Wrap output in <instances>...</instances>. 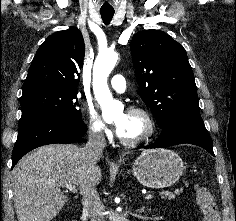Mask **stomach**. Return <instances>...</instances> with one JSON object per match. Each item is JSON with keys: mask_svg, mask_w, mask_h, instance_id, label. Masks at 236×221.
Segmentation results:
<instances>
[{"mask_svg": "<svg viewBox=\"0 0 236 221\" xmlns=\"http://www.w3.org/2000/svg\"><path fill=\"white\" fill-rule=\"evenodd\" d=\"M133 174L149 188H165L176 183L184 170L182 159L167 149L143 151L133 163Z\"/></svg>", "mask_w": 236, "mask_h": 221, "instance_id": "stomach-1", "label": "stomach"}]
</instances>
